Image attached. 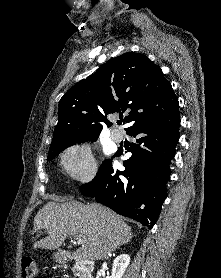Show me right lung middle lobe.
<instances>
[{
	"mask_svg": "<svg viewBox=\"0 0 221 278\" xmlns=\"http://www.w3.org/2000/svg\"><path fill=\"white\" fill-rule=\"evenodd\" d=\"M98 136H99L98 134L97 135H91V136H87V137L81 138L79 140H76L74 142L60 144V145H57V146H55L53 148H50L47 160L54 159L56 157V155H58L62 150H64L65 148H67V147H69V146H71V145H73L75 143H81V142H86V141H96ZM108 162H109V160L104 161L98 172H100V170L103 168V166L105 164H107ZM85 185H87V184H85ZM85 185H83V186H85Z\"/></svg>",
	"mask_w": 221,
	"mask_h": 278,
	"instance_id": "1",
	"label": "right lung middle lobe"
}]
</instances>
